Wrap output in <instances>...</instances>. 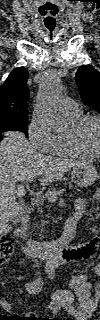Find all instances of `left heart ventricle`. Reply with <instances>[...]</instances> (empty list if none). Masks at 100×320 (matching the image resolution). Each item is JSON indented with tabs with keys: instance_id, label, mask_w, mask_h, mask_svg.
<instances>
[{
	"instance_id": "left-heart-ventricle-1",
	"label": "left heart ventricle",
	"mask_w": 100,
	"mask_h": 320,
	"mask_svg": "<svg viewBox=\"0 0 100 320\" xmlns=\"http://www.w3.org/2000/svg\"><path fill=\"white\" fill-rule=\"evenodd\" d=\"M83 139L84 141L93 147L94 149H97L100 144V134H99V128L98 125L95 122L88 123L84 130H83Z\"/></svg>"
}]
</instances>
